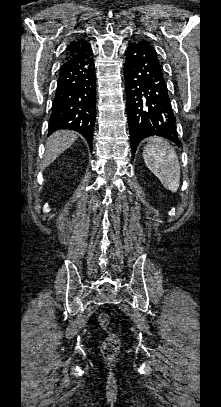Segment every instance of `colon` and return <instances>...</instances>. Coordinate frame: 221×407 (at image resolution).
<instances>
[{
	"label": "colon",
	"mask_w": 221,
	"mask_h": 407,
	"mask_svg": "<svg viewBox=\"0 0 221 407\" xmlns=\"http://www.w3.org/2000/svg\"><path fill=\"white\" fill-rule=\"evenodd\" d=\"M99 325L108 333L106 338L102 342L101 351L103 357L111 361L113 360L119 351L121 340L119 336L112 332L110 329V319L109 316L105 313H102L98 317Z\"/></svg>",
	"instance_id": "obj_1"
}]
</instances>
